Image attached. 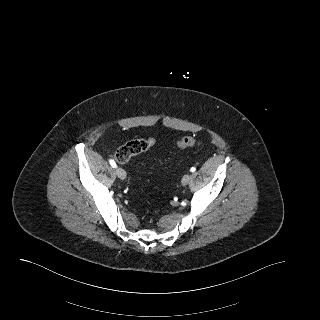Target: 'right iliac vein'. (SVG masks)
<instances>
[{
  "label": "right iliac vein",
  "mask_w": 320,
  "mask_h": 320,
  "mask_svg": "<svg viewBox=\"0 0 320 320\" xmlns=\"http://www.w3.org/2000/svg\"><path fill=\"white\" fill-rule=\"evenodd\" d=\"M116 174L121 180L126 179V172L121 167L116 168Z\"/></svg>",
  "instance_id": "1"
}]
</instances>
